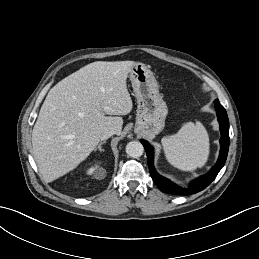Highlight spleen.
<instances>
[{"label": "spleen", "mask_w": 259, "mask_h": 259, "mask_svg": "<svg viewBox=\"0 0 259 259\" xmlns=\"http://www.w3.org/2000/svg\"><path fill=\"white\" fill-rule=\"evenodd\" d=\"M162 145L168 162L183 171L203 167L209 156V137L200 122L184 123L176 134L167 135Z\"/></svg>", "instance_id": "obj_1"}]
</instances>
